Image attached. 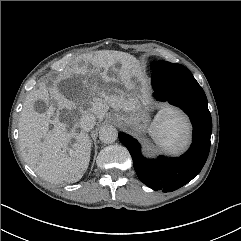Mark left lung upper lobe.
I'll return each mask as SVG.
<instances>
[{
  "label": "left lung upper lobe",
  "instance_id": "left-lung-upper-lobe-1",
  "mask_svg": "<svg viewBox=\"0 0 241 241\" xmlns=\"http://www.w3.org/2000/svg\"><path fill=\"white\" fill-rule=\"evenodd\" d=\"M151 69L159 71L167 80L168 88L176 91L184 86L197 83L192 73L183 65L166 61H154Z\"/></svg>",
  "mask_w": 241,
  "mask_h": 241
}]
</instances>
